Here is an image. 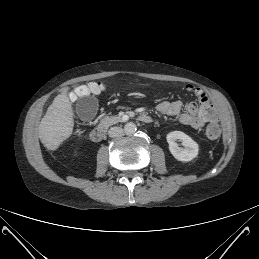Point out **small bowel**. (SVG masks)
<instances>
[{
	"mask_svg": "<svg viewBox=\"0 0 259 259\" xmlns=\"http://www.w3.org/2000/svg\"><path fill=\"white\" fill-rule=\"evenodd\" d=\"M157 110L167 116H177L181 124L194 129H199L210 121L205 116L202 101L200 107L192 102L186 105L185 110H183V104L179 100L162 101L157 105Z\"/></svg>",
	"mask_w": 259,
	"mask_h": 259,
	"instance_id": "obj_1",
	"label": "small bowel"
}]
</instances>
